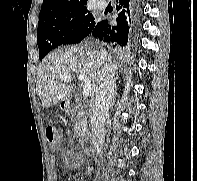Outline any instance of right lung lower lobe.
Masks as SVG:
<instances>
[{
  "mask_svg": "<svg viewBox=\"0 0 197 181\" xmlns=\"http://www.w3.org/2000/svg\"><path fill=\"white\" fill-rule=\"evenodd\" d=\"M116 2L117 24L110 25L106 20L97 22L91 34L105 42L126 46L139 22L141 0H116Z\"/></svg>",
  "mask_w": 197,
  "mask_h": 181,
  "instance_id": "98d812e1",
  "label": "right lung lower lobe"
}]
</instances>
